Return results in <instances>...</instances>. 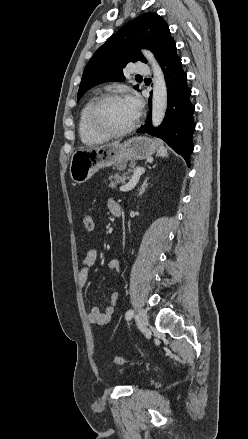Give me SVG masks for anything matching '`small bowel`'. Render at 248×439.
I'll use <instances>...</instances> for the list:
<instances>
[{"label": "small bowel", "instance_id": "c3829d8e", "mask_svg": "<svg viewBox=\"0 0 248 439\" xmlns=\"http://www.w3.org/2000/svg\"><path fill=\"white\" fill-rule=\"evenodd\" d=\"M107 205L111 213H113V211L116 208L120 207V205L113 199H110ZM97 257H98L97 249L95 247L90 248L83 261V266L78 274V281L81 288H85L87 286L90 268L95 264ZM107 268L110 271L120 272L119 260L111 259L107 264ZM108 299L110 302V306L107 307L105 311H102L98 306H94L91 308L88 314V320L91 324L97 326H104L110 322L113 313V308L118 300V293L117 292L110 293Z\"/></svg>", "mask_w": 248, "mask_h": 439}]
</instances>
